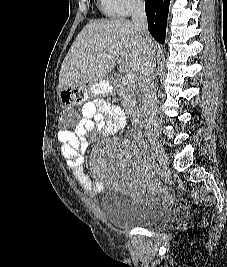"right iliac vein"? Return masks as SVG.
I'll return each instance as SVG.
<instances>
[{"label":"right iliac vein","instance_id":"obj_1","mask_svg":"<svg viewBox=\"0 0 227 267\" xmlns=\"http://www.w3.org/2000/svg\"><path fill=\"white\" fill-rule=\"evenodd\" d=\"M150 144L156 153L160 166L166 169L168 167L167 157L159 138L157 136L150 137Z\"/></svg>","mask_w":227,"mask_h":267}]
</instances>
